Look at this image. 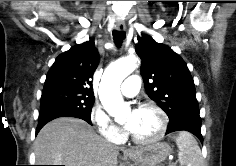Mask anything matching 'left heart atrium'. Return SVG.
<instances>
[{
  "instance_id": "obj_1",
  "label": "left heart atrium",
  "mask_w": 236,
  "mask_h": 166,
  "mask_svg": "<svg viewBox=\"0 0 236 166\" xmlns=\"http://www.w3.org/2000/svg\"><path fill=\"white\" fill-rule=\"evenodd\" d=\"M137 120H138L137 111H134L132 112L131 118L126 122L125 129L132 133L136 128Z\"/></svg>"
}]
</instances>
